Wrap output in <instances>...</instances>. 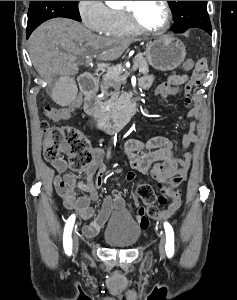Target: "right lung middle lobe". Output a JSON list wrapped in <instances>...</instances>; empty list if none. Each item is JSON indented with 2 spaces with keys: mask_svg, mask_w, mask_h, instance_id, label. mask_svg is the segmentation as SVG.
Instances as JSON below:
<instances>
[{
  "mask_svg": "<svg viewBox=\"0 0 237 300\" xmlns=\"http://www.w3.org/2000/svg\"><path fill=\"white\" fill-rule=\"evenodd\" d=\"M78 1H30L27 28L34 30L44 21L65 17L81 21Z\"/></svg>",
  "mask_w": 237,
  "mask_h": 300,
  "instance_id": "obj_1",
  "label": "right lung middle lobe"
}]
</instances>
